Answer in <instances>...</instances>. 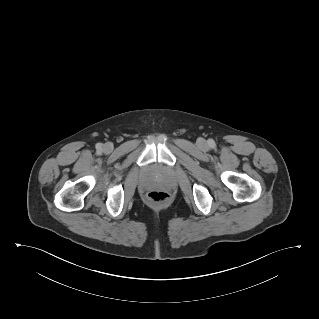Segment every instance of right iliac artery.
<instances>
[{"instance_id": "right-iliac-artery-1", "label": "right iliac artery", "mask_w": 319, "mask_h": 319, "mask_svg": "<svg viewBox=\"0 0 319 319\" xmlns=\"http://www.w3.org/2000/svg\"><path fill=\"white\" fill-rule=\"evenodd\" d=\"M96 148H97L98 150H101L102 145H101L100 143H98V144L96 145Z\"/></svg>"}]
</instances>
